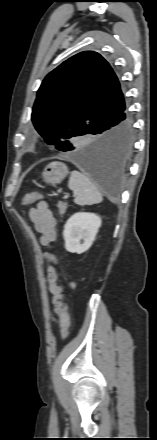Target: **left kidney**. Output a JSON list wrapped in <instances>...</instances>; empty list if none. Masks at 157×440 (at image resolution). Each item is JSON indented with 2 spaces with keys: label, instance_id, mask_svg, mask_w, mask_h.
Returning a JSON list of instances; mask_svg holds the SVG:
<instances>
[{
  "label": "left kidney",
  "instance_id": "1",
  "mask_svg": "<svg viewBox=\"0 0 157 440\" xmlns=\"http://www.w3.org/2000/svg\"><path fill=\"white\" fill-rule=\"evenodd\" d=\"M101 223V218L94 213L79 212L72 215L63 231L66 250L77 254L87 251L92 246Z\"/></svg>",
  "mask_w": 157,
  "mask_h": 440
}]
</instances>
